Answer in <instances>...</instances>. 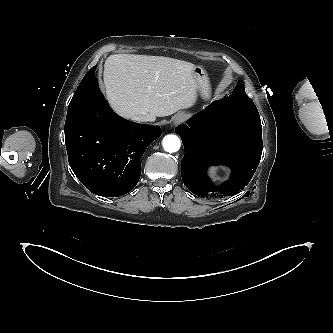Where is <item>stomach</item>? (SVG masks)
<instances>
[{
  "instance_id": "stomach-1",
  "label": "stomach",
  "mask_w": 333,
  "mask_h": 333,
  "mask_svg": "<svg viewBox=\"0 0 333 333\" xmlns=\"http://www.w3.org/2000/svg\"><path fill=\"white\" fill-rule=\"evenodd\" d=\"M194 75L199 84V91L204 99H208L210 97V88L209 81L207 77V73L205 69L201 66H196L194 71Z\"/></svg>"
}]
</instances>
